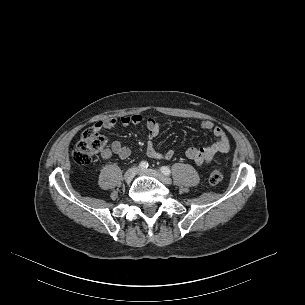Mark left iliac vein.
Masks as SVG:
<instances>
[{"mask_svg": "<svg viewBox=\"0 0 305 305\" xmlns=\"http://www.w3.org/2000/svg\"><path fill=\"white\" fill-rule=\"evenodd\" d=\"M138 174L154 177L164 184L170 185L172 183V180L169 177L154 169H142L138 171Z\"/></svg>", "mask_w": 305, "mask_h": 305, "instance_id": "4c4485c4", "label": "left iliac vein"}]
</instances>
